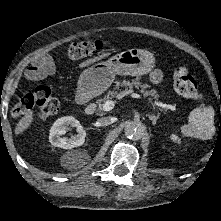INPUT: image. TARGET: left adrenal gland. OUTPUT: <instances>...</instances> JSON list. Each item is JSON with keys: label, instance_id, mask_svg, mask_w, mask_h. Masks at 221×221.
<instances>
[{"label": "left adrenal gland", "instance_id": "a2214340", "mask_svg": "<svg viewBox=\"0 0 221 221\" xmlns=\"http://www.w3.org/2000/svg\"><path fill=\"white\" fill-rule=\"evenodd\" d=\"M146 116L152 121L153 125H155L157 120L159 119V114L157 116L156 115L147 114Z\"/></svg>", "mask_w": 221, "mask_h": 221}]
</instances>
